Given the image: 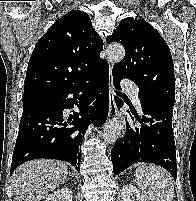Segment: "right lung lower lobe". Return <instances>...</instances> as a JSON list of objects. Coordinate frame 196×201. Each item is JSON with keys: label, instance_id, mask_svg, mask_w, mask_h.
<instances>
[{"label": "right lung lower lobe", "instance_id": "1", "mask_svg": "<svg viewBox=\"0 0 196 201\" xmlns=\"http://www.w3.org/2000/svg\"><path fill=\"white\" fill-rule=\"evenodd\" d=\"M108 82L109 65L104 61L80 81L24 102L11 173L22 163L38 158L67 161L79 171L87 126L93 123L100 127L108 116ZM74 104L79 113L64 117L63 110Z\"/></svg>", "mask_w": 196, "mask_h": 201}]
</instances>
